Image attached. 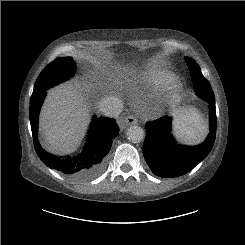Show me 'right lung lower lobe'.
Segmentation results:
<instances>
[{"instance_id": "right-lung-lower-lobe-1", "label": "right lung lower lobe", "mask_w": 245, "mask_h": 245, "mask_svg": "<svg viewBox=\"0 0 245 245\" xmlns=\"http://www.w3.org/2000/svg\"><path fill=\"white\" fill-rule=\"evenodd\" d=\"M45 95L46 92L43 91L36 97H31L29 110L34 147L39 158L48 167L66 174L75 181H86L98 176L105 168L112 140L118 135L119 127L115 119L94 118L87 143L80 154L65 159L54 157L42 149L37 137L38 115Z\"/></svg>"}]
</instances>
